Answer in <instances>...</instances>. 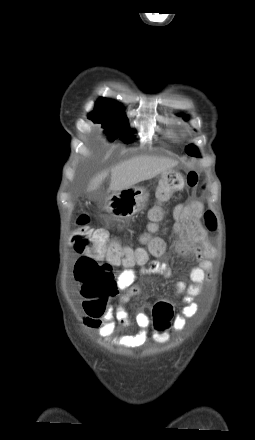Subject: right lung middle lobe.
Segmentation results:
<instances>
[{
  "mask_svg": "<svg viewBox=\"0 0 255 440\" xmlns=\"http://www.w3.org/2000/svg\"><path fill=\"white\" fill-rule=\"evenodd\" d=\"M89 119L102 124L104 133L109 140L119 138L125 143L132 141L128 119L121 107H104L96 104L95 111L89 114Z\"/></svg>",
  "mask_w": 255,
  "mask_h": 440,
  "instance_id": "obj_1",
  "label": "right lung middle lobe"
}]
</instances>
